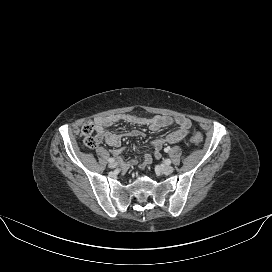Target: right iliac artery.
<instances>
[{"label": "right iliac artery", "instance_id": "right-iliac-artery-1", "mask_svg": "<svg viewBox=\"0 0 272 272\" xmlns=\"http://www.w3.org/2000/svg\"><path fill=\"white\" fill-rule=\"evenodd\" d=\"M114 161H115L114 158H109V159H108V162H109V163H112V162H114Z\"/></svg>", "mask_w": 272, "mask_h": 272}]
</instances>
